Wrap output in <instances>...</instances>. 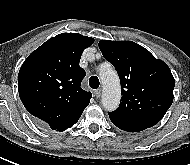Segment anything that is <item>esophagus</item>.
<instances>
[{
    "instance_id": "34e87169",
    "label": "esophagus",
    "mask_w": 190,
    "mask_h": 165,
    "mask_svg": "<svg viewBox=\"0 0 190 165\" xmlns=\"http://www.w3.org/2000/svg\"><path fill=\"white\" fill-rule=\"evenodd\" d=\"M94 95H95L96 98H99L101 96V89H96L94 91Z\"/></svg>"
}]
</instances>
